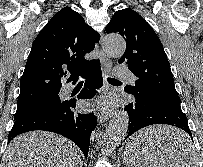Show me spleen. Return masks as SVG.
Masks as SVG:
<instances>
[{
	"label": "spleen",
	"mask_w": 203,
	"mask_h": 167,
	"mask_svg": "<svg viewBox=\"0 0 203 167\" xmlns=\"http://www.w3.org/2000/svg\"><path fill=\"white\" fill-rule=\"evenodd\" d=\"M127 148L128 152L131 153V159L125 161L128 167H198L196 156L192 149L186 150L184 160H175L170 163L162 159L159 151L156 156L153 155L151 149H157L155 146L149 148L142 146L140 143Z\"/></svg>",
	"instance_id": "obj_1"
}]
</instances>
